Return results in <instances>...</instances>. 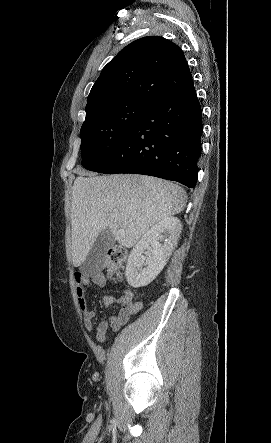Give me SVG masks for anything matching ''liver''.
<instances>
[{
	"label": "liver",
	"mask_w": 271,
	"mask_h": 443,
	"mask_svg": "<svg viewBox=\"0 0 271 443\" xmlns=\"http://www.w3.org/2000/svg\"><path fill=\"white\" fill-rule=\"evenodd\" d=\"M71 196L75 267L85 261L104 229H110L121 245L132 247L151 225L182 212L186 200L180 186L161 178L139 174L97 176L90 172H81L74 180Z\"/></svg>",
	"instance_id": "liver-1"
}]
</instances>
